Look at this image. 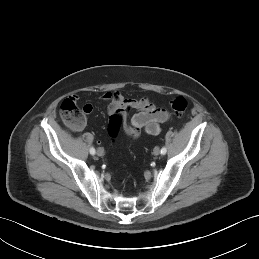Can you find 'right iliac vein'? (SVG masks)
<instances>
[{
	"mask_svg": "<svg viewBox=\"0 0 259 259\" xmlns=\"http://www.w3.org/2000/svg\"><path fill=\"white\" fill-rule=\"evenodd\" d=\"M96 154L98 155V156H103L104 155V151H103V149L102 148H98L97 149V151H96Z\"/></svg>",
	"mask_w": 259,
	"mask_h": 259,
	"instance_id": "1",
	"label": "right iliac vein"
}]
</instances>
